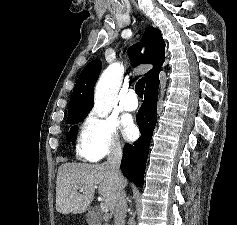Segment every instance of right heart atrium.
I'll use <instances>...</instances> for the list:
<instances>
[{
	"label": "right heart atrium",
	"mask_w": 237,
	"mask_h": 225,
	"mask_svg": "<svg viewBox=\"0 0 237 225\" xmlns=\"http://www.w3.org/2000/svg\"><path fill=\"white\" fill-rule=\"evenodd\" d=\"M77 153L91 162L120 155L122 143L116 123L94 112L89 113L80 126Z\"/></svg>",
	"instance_id": "obj_1"
}]
</instances>
